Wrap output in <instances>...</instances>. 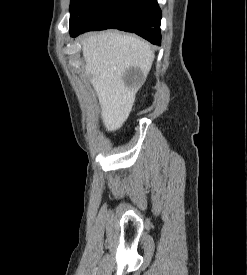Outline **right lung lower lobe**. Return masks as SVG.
Segmentation results:
<instances>
[{"instance_id":"right-lung-lower-lobe-1","label":"right lung lower lobe","mask_w":247,"mask_h":275,"mask_svg":"<svg viewBox=\"0 0 247 275\" xmlns=\"http://www.w3.org/2000/svg\"><path fill=\"white\" fill-rule=\"evenodd\" d=\"M161 16L157 0H104L79 16L70 27V35L76 37L85 31L115 28L134 32L160 45Z\"/></svg>"}]
</instances>
